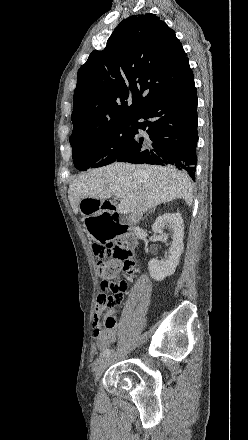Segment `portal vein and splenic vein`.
<instances>
[{"mask_svg": "<svg viewBox=\"0 0 248 440\" xmlns=\"http://www.w3.org/2000/svg\"><path fill=\"white\" fill-rule=\"evenodd\" d=\"M110 189L115 193V195L118 198H121V191H120V189H118L117 187H113V186H111ZM118 210H119L120 213H123V214H126V213L129 212V209L127 208V206L124 203H122V202L118 205Z\"/></svg>", "mask_w": 248, "mask_h": 440, "instance_id": "portal-vein-and-splenic-vein-1", "label": "portal vein and splenic vein"}]
</instances>
